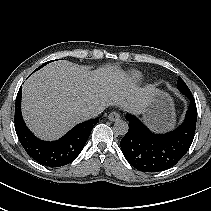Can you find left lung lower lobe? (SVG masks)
I'll use <instances>...</instances> for the list:
<instances>
[{"mask_svg":"<svg viewBox=\"0 0 211 211\" xmlns=\"http://www.w3.org/2000/svg\"><path fill=\"white\" fill-rule=\"evenodd\" d=\"M183 94L190 101L184 122L168 133L154 134L138 118L126 115L129 130L121 140V150L137 170H166L176 165L189 150L196 129L197 109L191 91Z\"/></svg>","mask_w":211,"mask_h":211,"instance_id":"obj_1","label":"left lung lower lobe"}]
</instances>
